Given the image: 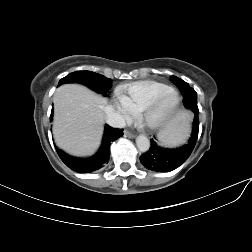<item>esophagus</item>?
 I'll return each instance as SVG.
<instances>
[{"instance_id":"1","label":"esophagus","mask_w":252,"mask_h":252,"mask_svg":"<svg viewBox=\"0 0 252 252\" xmlns=\"http://www.w3.org/2000/svg\"><path fill=\"white\" fill-rule=\"evenodd\" d=\"M124 136L128 138H134L135 135L127 130L124 131Z\"/></svg>"}]
</instances>
